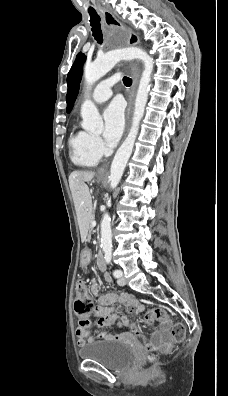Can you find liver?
I'll return each instance as SVG.
<instances>
[{
    "mask_svg": "<svg viewBox=\"0 0 228 396\" xmlns=\"http://www.w3.org/2000/svg\"><path fill=\"white\" fill-rule=\"evenodd\" d=\"M95 173L88 171H74L69 176V186L79 223L81 225L82 240L85 239L83 224L91 217L92 199L86 182L93 179Z\"/></svg>",
    "mask_w": 228,
    "mask_h": 396,
    "instance_id": "1",
    "label": "liver"
}]
</instances>
